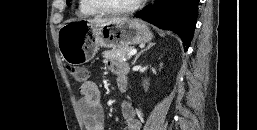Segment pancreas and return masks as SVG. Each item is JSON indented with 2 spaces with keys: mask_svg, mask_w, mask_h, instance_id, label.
I'll use <instances>...</instances> for the list:
<instances>
[{
  "mask_svg": "<svg viewBox=\"0 0 257 130\" xmlns=\"http://www.w3.org/2000/svg\"><path fill=\"white\" fill-rule=\"evenodd\" d=\"M132 49H133V47H131V46L115 48V49L103 52V57L106 60H109L111 63L128 60L130 58V56H128V53Z\"/></svg>",
  "mask_w": 257,
  "mask_h": 130,
  "instance_id": "cf45deb5",
  "label": "pancreas"
}]
</instances>
